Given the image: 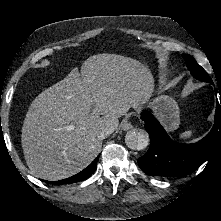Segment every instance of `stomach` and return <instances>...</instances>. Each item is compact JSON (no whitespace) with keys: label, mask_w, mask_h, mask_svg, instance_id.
I'll use <instances>...</instances> for the list:
<instances>
[{"label":"stomach","mask_w":221,"mask_h":221,"mask_svg":"<svg viewBox=\"0 0 221 221\" xmlns=\"http://www.w3.org/2000/svg\"><path fill=\"white\" fill-rule=\"evenodd\" d=\"M150 107L168 131L178 128L180 115L175 99L168 95H160L151 102Z\"/></svg>","instance_id":"obj_1"}]
</instances>
